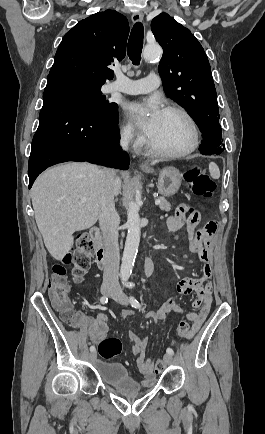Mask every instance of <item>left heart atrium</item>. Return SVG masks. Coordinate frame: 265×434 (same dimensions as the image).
<instances>
[{
  "instance_id": "1",
  "label": "left heart atrium",
  "mask_w": 265,
  "mask_h": 434,
  "mask_svg": "<svg viewBox=\"0 0 265 434\" xmlns=\"http://www.w3.org/2000/svg\"><path fill=\"white\" fill-rule=\"evenodd\" d=\"M155 101V98H150L145 103H131L128 106L132 124L139 128L149 140L154 137L163 114Z\"/></svg>"
}]
</instances>
